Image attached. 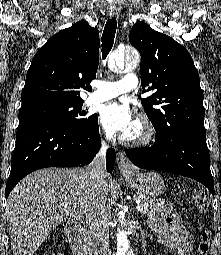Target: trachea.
<instances>
[{"instance_id":"obj_1","label":"trachea","mask_w":221,"mask_h":255,"mask_svg":"<svg viewBox=\"0 0 221 255\" xmlns=\"http://www.w3.org/2000/svg\"><path fill=\"white\" fill-rule=\"evenodd\" d=\"M117 29V21L115 18L109 19L104 27L102 34V56L103 59L107 57L110 50L112 49L115 33Z\"/></svg>"}]
</instances>
